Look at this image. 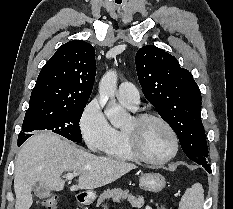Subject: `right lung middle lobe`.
<instances>
[{"label": "right lung middle lobe", "instance_id": "right-lung-middle-lobe-1", "mask_svg": "<svg viewBox=\"0 0 233 209\" xmlns=\"http://www.w3.org/2000/svg\"><path fill=\"white\" fill-rule=\"evenodd\" d=\"M87 103L70 107L32 106L29 107L23 121L18 141L24 142L35 130H52L65 138L81 143L82 135L79 121Z\"/></svg>", "mask_w": 233, "mask_h": 209}]
</instances>
